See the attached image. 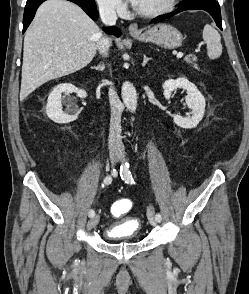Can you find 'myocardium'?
Segmentation results:
<instances>
[{"mask_svg":"<svg viewBox=\"0 0 249 294\" xmlns=\"http://www.w3.org/2000/svg\"><path fill=\"white\" fill-rule=\"evenodd\" d=\"M178 2L179 0H171L167 6L151 11L142 10L134 3V11L143 17H157L171 12Z\"/></svg>","mask_w":249,"mask_h":294,"instance_id":"myocardium-1","label":"myocardium"}]
</instances>
